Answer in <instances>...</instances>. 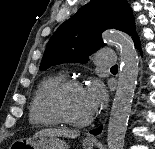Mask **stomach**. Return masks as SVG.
Returning <instances> with one entry per match:
<instances>
[{
	"label": "stomach",
	"instance_id": "stomach-1",
	"mask_svg": "<svg viewBox=\"0 0 155 149\" xmlns=\"http://www.w3.org/2000/svg\"><path fill=\"white\" fill-rule=\"evenodd\" d=\"M84 149H93L94 142L83 141ZM14 149H69L68 144L53 135H38L30 139H19L12 144Z\"/></svg>",
	"mask_w": 155,
	"mask_h": 149
}]
</instances>
